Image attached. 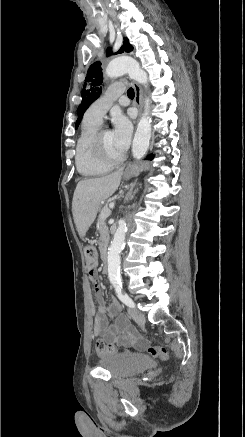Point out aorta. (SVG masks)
<instances>
[{
    "mask_svg": "<svg viewBox=\"0 0 245 437\" xmlns=\"http://www.w3.org/2000/svg\"><path fill=\"white\" fill-rule=\"evenodd\" d=\"M107 77L113 78L124 74H128L130 78L141 83L145 87L148 84L146 72L140 67V64L132 57H120L111 61L106 70ZM148 98L145 99V109L142 117L137 125L132 144V154L136 159H141L147 152L151 138V117L149 115ZM127 222L125 219H120L118 228L114 234L113 240L109 247L107 263L108 277L111 282L119 280L120 276V253L124 248L125 235L127 232Z\"/></svg>",
    "mask_w": 245,
    "mask_h": 437,
    "instance_id": "obj_1",
    "label": "aorta"
}]
</instances>
